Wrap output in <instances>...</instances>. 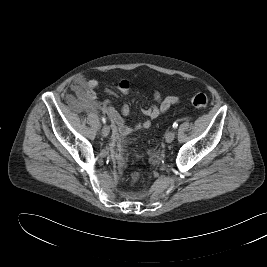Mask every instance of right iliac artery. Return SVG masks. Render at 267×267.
<instances>
[{
  "instance_id": "obj_1",
  "label": "right iliac artery",
  "mask_w": 267,
  "mask_h": 267,
  "mask_svg": "<svg viewBox=\"0 0 267 267\" xmlns=\"http://www.w3.org/2000/svg\"><path fill=\"white\" fill-rule=\"evenodd\" d=\"M102 122L106 123V118L105 117H102Z\"/></svg>"
}]
</instances>
